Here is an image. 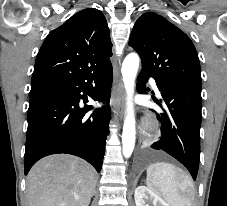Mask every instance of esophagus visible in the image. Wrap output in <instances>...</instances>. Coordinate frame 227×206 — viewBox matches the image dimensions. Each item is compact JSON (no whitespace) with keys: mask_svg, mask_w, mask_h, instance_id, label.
<instances>
[{"mask_svg":"<svg viewBox=\"0 0 227 206\" xmlns=\"http://www.w3.org/2000/svg\"><path fill=\"white\" fill-rule=\"evenodd\" d=\"M112 103L116 112L122 116L124 114V90L121 82H118L113 92Z\"/></svg>","mask_w":227,"mask_h":206,"instance_id":"obj_1","label":"esophagus"}]
</instances>
